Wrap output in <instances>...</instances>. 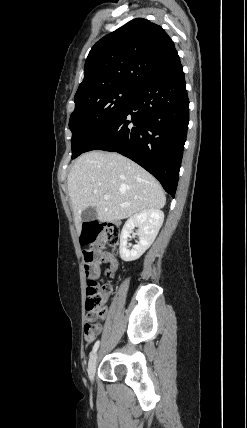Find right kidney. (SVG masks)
<instances>
[{
  "instance_id": "obj_1",
  "label": "right kidney",
  "mask_w": 247,
  "mask_h": 428,
  "mask_svg": "<svg viewBox=\"0 0 247 428\" xmlns=\"http://www.w3.org/2000/svg\"><path fill=\"white\" fill-rule=\"evenodd\" d=\"M164 220V213L159 209H147L130 217L123 226L120 235L119 253L122 260L129 262L137 260L154 242ZM138 227L139 242L128 244L132 230Z\"/></svg>"
}]
</instances>
